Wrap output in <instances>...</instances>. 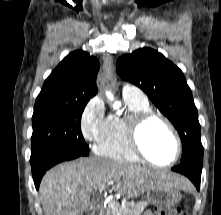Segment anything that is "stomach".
I'll return each mask as SVG.
<instances>
[{
  "mask_svg": "<svg viewBox=\"0 0 221 215\" xmlns=\"http://www.w3.org/2000/svg\"><path fill=\"white\" fill-rule=\"evenodd\" d=\"M181 198L179 188L167 184L155 185L146 191L147 201L160 207L175 206L181 201Z\"/></svg>",
  "mask_w": 221,
  "mask_h": 215,
  "instance_id": "0dacf381",
  "label": "stomach"
}]
</instances>
